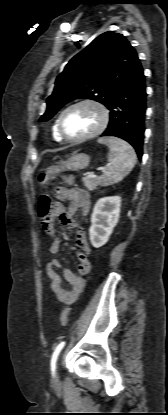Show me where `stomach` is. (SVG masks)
I'll list each match as a JSON object with an SVG mask.
<instances>
[{
	"instance_id": "obj_1",
	"label": "stomach",
	"mask_w": 168,
	"mask_h": 415,
	"mask_svg": "<svg viewBox=\"0 0 168 415\" xmlns=\"http://www.w3.org/2000/svg\"><path fill=\"white\" fill-rule=\"evenodd\" d=\"M90 157L84 153H73L66 161H61L57 166L49 168L45 177L44 183H47L51 175L59 174L60 172L71 170L78 171L86 168L89 165Z\"/></svg>"
}]
</instances>
